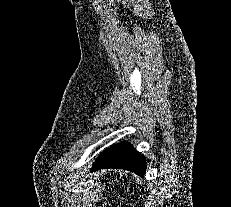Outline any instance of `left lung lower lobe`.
<instances>
[{
	"instance_id": "left-lung-lower-lobe-1",
	"label": "left lung lower lobe",
	"mask_w": 231,
	"mask_h": 207,
	"mask_svg": "<svg viewBox=\"0 0 231 207\" xmlns=\"http://www.w3.org/2000/svg\"><path fill=\"white\" fill-rule=\"evenodd\" d=\"M102 168L130 170L143 176L146 170V159L127 142L113 145L96 159L92 171Z\"/></svg>"
}]
</instances>
